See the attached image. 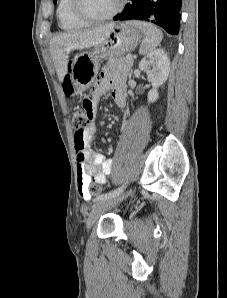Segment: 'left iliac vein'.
Returning <instances> with one entry per match:
<instances>
[{
  "label": "left iliac vein",
  "mask_w": 227,
  "mask_h": 298,
  "mask_svg": "<svg viewBox=\"0 0 227 298\" xmlns=\"http://www.w3.org/2000/svg\"><path fill=\"white\" fill-rule=\"evenodd\" d=\"M131 193V190L127 191L126 194L123 195H117L115 197L105 199V200H100L98 201L93 209L91 210L89 217L86 222V227L87 229H90L94 223L98 220L100 215L104 213L105 211L111 209L115 205H117L119 202H121L127 195Z\"/></svg>",
  "instance_id": "obj_1"
}]
</instances>
